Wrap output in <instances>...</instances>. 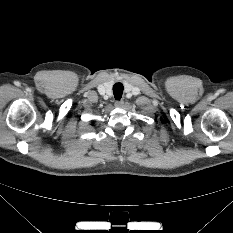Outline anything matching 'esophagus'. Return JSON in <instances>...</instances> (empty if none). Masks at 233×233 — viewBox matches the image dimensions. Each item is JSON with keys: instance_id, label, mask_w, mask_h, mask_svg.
Returning <instances> with one entry per match:
<instances>
[{"instance_id": "34e87169", "label": "esophagus", "mask_w": 233, "mask_h": 233, "mask_svg": "<svg viewBox=\"0 0 233 233\" xmlns=\"http://www.w3.org/2000/svg\"><path fill=\"white\" fill-rule=\"evenodd\" d=\"M123 104H124L123 100H117V101H115V106L116 107H122Z\"/></svg>"}]
</instances>
